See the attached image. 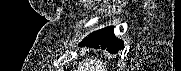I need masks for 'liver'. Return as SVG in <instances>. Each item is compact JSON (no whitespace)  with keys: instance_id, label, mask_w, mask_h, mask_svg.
Wrapping results in <instances>:
<instances>
[{"instance_id":"1","label":"liver","mask_w":181,"mask_h":71,"mask_svg":"<svg viewBox=\"0 0 181 71\" xmlns=\"http://www.w3.org/2000/svg\"><path fill=\"white\" fill-rule=\"evenodd\" d=\"M77 71H106V63L97 58H86L80 63Z\"/></svg>"}]
</instances>
